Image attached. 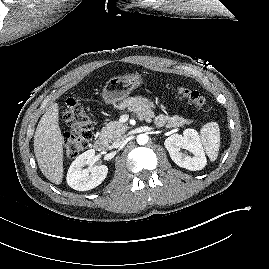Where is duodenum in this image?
<instances>
[{
  "mask_svg": "<svg viewBox=\"0 0 269 269\" xmlns=\"http://www.w3.org/2000/svg\"><path fill=\"white\" fill-rule=\"evenodd\" d=\"M108 147V142L106 140V138L104 137H98L95 139L94 141V148L95 150L102 152L105 151Z\"/></svg>",
  "mask_w": 269,
  "mask_h": 269,
  "instance_id": "410a0bca",
  "label": "duodenum"
}]
</instances>
